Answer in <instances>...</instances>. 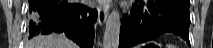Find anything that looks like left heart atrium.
<instances>
[{
  "label": "left heart atrium",
  "instance_id": "1",
  "mask_svg": "<svg viewBox=\"0 0 213 48\" xmlns=\"http://www.w3.org/2000/svg\"><path fill=\"white\" fill-rule=\"evenodd\" d=\"M109 1H101L102 4H106L108 3Z\"/></svg>",
  "mask_w": 213,
  "mask_h": 48
}]
</instances>
